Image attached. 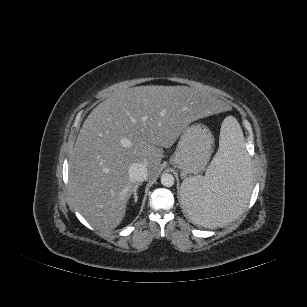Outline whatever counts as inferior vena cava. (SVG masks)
<instances>
[{
  "label": "inferior vena cava",
  "instance_id": "1",
  "mask_svg": "<svg viewBox=\"0 0 307 307\" xmlns=\"http://www.w3.org/2000/svg\"><path fill=\"white\" fill-rule=\"evenodd\" d=\"M128 174L133 182H143L147 179L148 168L142 163H133L128 169Z\"/></svg>",
  "mask_w": 307,
  "mask_h": 307
}]
</instances>
